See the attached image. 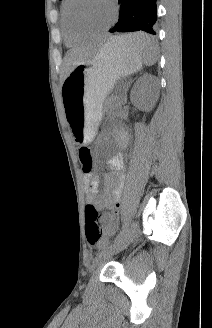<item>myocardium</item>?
<instances>
[{
    "label": "myocardium",
    "mask_w": 212,
    "mask_h": 328,
    "mask_svg": "<svg viewBox=\"0 0 212 328\" xmlns=\"http://www.w3.org/2000/svg\"><path fill=\"white\" fill-rule=\"evenodd\" d=\"M76 1L77 0H67V5H66V9H65V17H66L68 27H69L70 31L74 34H86L87 35V34H97V33L104 32V31L110 29L111 26L114 24V22L117 19L118 12H119L117 1L110 0L112 7H113V16L107 25H105L103 27H99V28L79 27L73 22L72 17H71V8Z\"/></svg>",
    "instance_id": "1"
}]
</instances>
